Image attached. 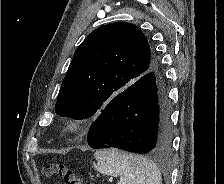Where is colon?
<instances>
[{"label": "colon", "instance_id": "5ec220e1", "mask_svg": "<svg viewBox=\"0 0 224 184\" xmlns=\"http://www.w3.org/2000/svg\"><path fill=\"white\" fill-rule=\"evenodd\" d=\"M43 173L47 177L58 176L63 179L65 184H93L79 175L73 168L62 163L46 165Z\"/></svg>", "mask_w": 224, "mask_h": 184}]
</instances>
